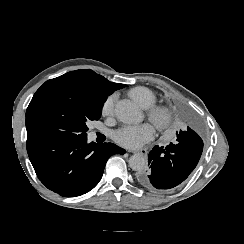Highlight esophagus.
Segmentation results:
<instances>
[{
	"mask_svg": "<svg viewBox=\"0 0 244 244\" xmlns=\"http://www.w3.org/2000/svg\"><path fill=\"white\" fill-rule=\"evenodd\" d=\"M129 152H132L134 154H140L144 157H147V155H148V150L146 148H142V149H138V150H131Z\"/></svg>",
	"mask_w": 244,
	"mask_h": 244,
	"instance_id": "obj_1",
	"label": "esophagus"
}]
</instances>
